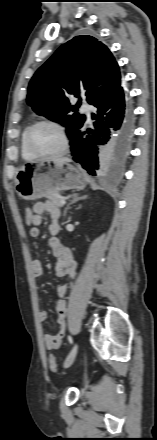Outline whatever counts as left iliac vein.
Instances as JSON below:
<instances>
[{"label":"left iliac vein","mask_w":157,"mask_h":440,"mask_svg":"<svg viewBox=\"0 0 157 440\" xmlns=\"http://www.w3.org/2000/svg\"><path fill=\"white\" fill-rule=\"evenodd\" d=\"M78 351V345L75 344L73 349L71 350L70 354L67 356L65 362H64V367L68 368L69 366L72 365V363L74 362V359L76 357Z\"/></svg>","instance_id":"1"}]
</instances>
